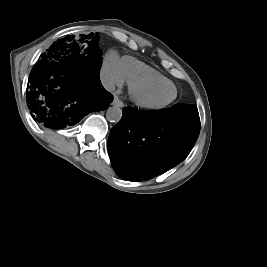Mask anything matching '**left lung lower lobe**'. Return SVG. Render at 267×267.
I'll use <instances>...</instances> for the list:
<instances>
[{
	"label": "left lung lower lobe",
	"instance_id": "obj_1",
	"mask_svg": "<svg viewBox=\"0 0 267 267\" xmlns=\"http://www.w3.org/2000/svg\"><path fill=\"white\" fill-rule=\"evenodd\" d=\"M108 138V153L119 177L144 181L182 162L193 148L200 118L195 106L142 111L125 107Z\"/></svg>",
	"mask_w": 267,
	"mask_h": 267
}]
</instances>
